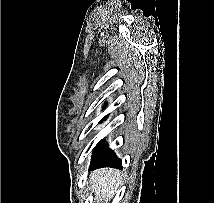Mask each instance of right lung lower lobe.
Returning a JSON list of instances; mask_svg holds the SVG:
<instances>
[{
	"label": "right lung lower lobe",
	"mask_w": 214,
	"mask_h": 203,
	"mask_svg": "<svg viewBox=\"0 0 214 203\" xmlns=\"http://www.w3.org/2000/svg\"><path fill=\"white\" fill-rule=\"evenodd\" d=\"M104 119L105 117L103 118V120ZM100 167L122 168L121 160L117 158L115 153H113V151L110 148H108L102 140L94 149L90 169H95Z\"/></svg>",
	"instance_id": "1"
}]
</instances>
